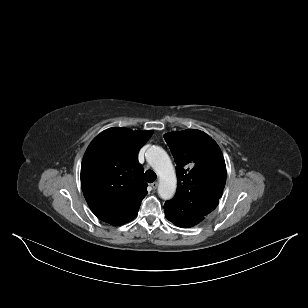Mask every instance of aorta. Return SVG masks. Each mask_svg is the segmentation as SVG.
Listing matches in <instances>:
<instances>
[{"mask_svg": "<svg viewBox=\"0 0 308 308\" xmlns=\"http://www.w3.org/2000/svg\"><path fill=\"white\" fill-rule=\"evenodd\" d=\"M146 159L159 176V196L171 199L176 192V175L168 154L163 148L152 146L146 151Z\"/></svg>", "mask_w": 308, "mask_h": 308, "instance_id": "aorta-1", "label": "aorta"}]
</instances>
